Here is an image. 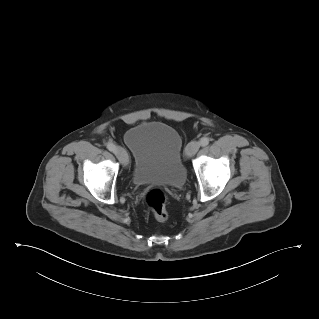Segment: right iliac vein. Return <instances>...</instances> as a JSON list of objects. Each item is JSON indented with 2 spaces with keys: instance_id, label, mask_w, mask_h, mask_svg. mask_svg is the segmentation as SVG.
I'll use <instances>...</instances> for the list:
<instances>
[{
  "instance_id": "right-iliac-vein-1",
  "label": "right iliac vein",
  "mask_w": 319,
  "mask_h": 319,
  "mask_svg": "<svg viewBox=\"0 0 319 319\" xmlns=\"http://www.w3.org/2000/svg\"><path fill=\"white\" fill-rule=\"evenodd\" d=\"M115 154L123 166L128 165V162H129L128 155L122 147H116Z\"/></svg>"
}]
</instances>
